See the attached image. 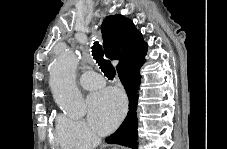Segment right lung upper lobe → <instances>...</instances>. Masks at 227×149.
Segmentation results:
<instances>
[{"instance_id":"obj_1","label":"right lung upper lobe","mask_w":227,"mask_h":149,"mask_svg":"<svg viewBox=\"0 0 227 149\" xmlns=\"http://www.w3.org/2000/svg\"><path fill=\"white\" fill-rule=\"evenodd\" d=\"M101 32L106 56L119 60L117 71L144 61L147 44L131 20L121 15L108 16L101 25Z\"/></svg>"}]
</instances>
